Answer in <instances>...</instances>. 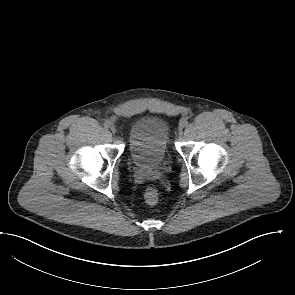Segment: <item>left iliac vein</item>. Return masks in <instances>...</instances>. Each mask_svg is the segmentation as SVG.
Instances as JSON below:
<instances>
[{
  "instance_id": "obj_1",
  "label": "left iliac vein",
  "mask_w": 295,
  "mask_h": 295,
  "mask_svg": "<svg viewBox=\"0 0 295 295\" xmlns=\"http://www.w3.org/2000/svg\"><path fill=\"white\" fill-rule=\"evenodd\" d=\"M183 125L182 124H180V126H179V135H182V129H183Z\"/></svg>"
}]
</instances>
